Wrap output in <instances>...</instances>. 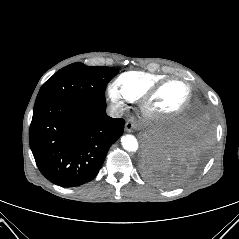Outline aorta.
I'll list each match as a JSON object with an SVG mask.
<instances>
[{"label": "aorta", "mask_w": 239, "mask_h": 239, "mask_svg": "<svg viewBox=\"0 0 239 239\" xmlns=\"http://www.w3.org/2000/svg\"><path fill=\"white\" fill-rule=\"evenodd\" d=\"M122 147L128 152H136L138 150V141L133 135H125L121 138Z\"/></svg>", "instance_id": "obj_1"}]
</instances>
